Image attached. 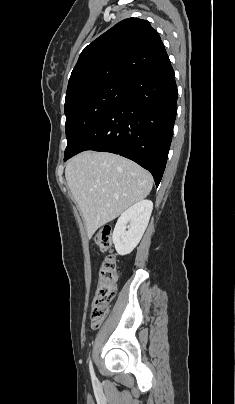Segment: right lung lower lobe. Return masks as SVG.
Masks as SVG:
<instances>
[{"instance_id": "98d812e1", "label": "right lung lower lobe", "mask_w": 235, "mask_h": 404, "mask_svg": "<svg viewBox=\"0 0 235 404\" xmlns=\"http://www.w3.org/2000/svg\"><path fill=\"white\" fill-rule=\"evenodd\" d=\"M177 114V86L169 58L124 83L121 100L84 135L77 148L119 154L138 163L159 185Z\"/></svg>"}]
</instances>
